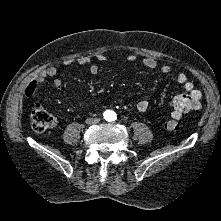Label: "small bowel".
Segmentation results:
<instances>
[{
  "mask_svg": "<svg viewBox=\"0 0 221 221\" xmlns=\"http://www.w3.org/2000/svg\"><path fill=\"white\" fill-rule=\"evenodd\" d=\"M98 59L101 62L106 61V57L104 55H99ZM128 61L133 62L135 61L134 56H129L127 58ZM73 61L71 59H67L65 61L66 65L71 64ZM91 59L87 56H82L78 59V63L81 65H88L90 64ZM143 67L149 70H155L159 69L163 74H171L172 70L169 65L162 64L159 65L158 62L150 56L142 58L141 61ZM89 70L92 74H96L99 71V67L96 64H91L89 66ZM58 73V69L56 66L51 65L39 72L35 78L25 87L24 90V95L26 97H32L38 87L40 86H45V87H50L56 90L61 89L62 83L58 79H51L55 77ZM174 79L175 81L181 85L185 91L183 94H179L175 96L171 102V107H172V114L173 117H181L183 114L187 113L188 111L198 109L200 106V100H201V92L199 89L195 87V84L190 81L187 77V75L182 72L178 71L174 74ZM39 106L38 103L35 104V107ZM149 107V103L146 100H140L137 103V109L140 112H145Z\"/></svg>",
  "mask_w": 221,
  "mask_h": 221,
  "instance_id": "1",
  "label": "small bowel"
}]
</instances>
